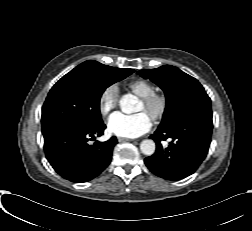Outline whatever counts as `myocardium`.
<instances>
[{"mask_svg":"<svg viewBox=\"0 0 252 231\" xmlns=\"http://www.w3.org/2000/svg\"><path fill=\"white\" fill-rule=\"evenodd\" d=\"M145 112L154 121H160L166 115L168 110V98L164 93L154 92L141 98Z\"/></svg>","mask_w":252,"mask_h":231,"instance_id":"obj_1","label":"myocardium"}]
</instances>
